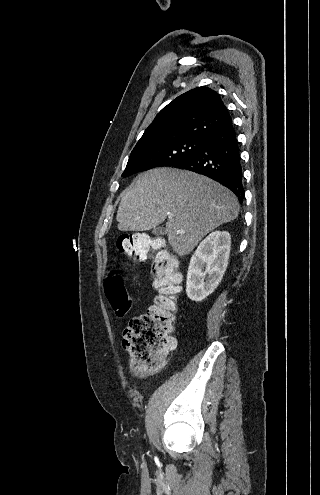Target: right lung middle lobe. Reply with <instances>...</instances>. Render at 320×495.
I'll use <instances>...</instances> for the list:
<instances>
[{"label":"right lung middle lobe","instance_id":"right-lung-middle-lobe-1","mask_svg":"<svg viewBox=\"0 0 320 495\" xmlns=\"http://www.w3.org/2000/svg\"><path fill=\"white\" fill-rule=\"evenodd\" d=\"M204 141V138H185L150 146H136L131 152L122 177L186 161L198 152Z\"/></svg>","mask_w":320,"mask_h":495}]
</instances>
